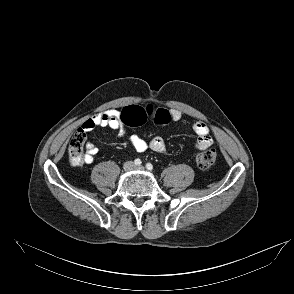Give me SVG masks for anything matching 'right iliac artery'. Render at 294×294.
Masks as SVG:
<instances>
[{"label":"right iliac artery","instance_id":"1","mask_svg":"<svg viewBox=\"0 0 294 294\" xmlns=\"http://www.w3.org/2000/svg\"><path fill=\"white\" fill-rule=\"evenodd\" d=\"M141 163H142L141 160L138 159V158L134 160V164L135 165H138L139 166Z\"/></svg>","mask_w":294,"mask_h":294}]
</instances>
